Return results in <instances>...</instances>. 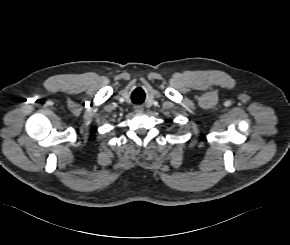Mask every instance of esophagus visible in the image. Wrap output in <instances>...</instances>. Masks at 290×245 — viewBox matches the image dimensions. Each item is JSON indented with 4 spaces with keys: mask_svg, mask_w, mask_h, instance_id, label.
<instances>
[{
    "mask_svg": "<svg viewBox=\"0 0 290 245\" xmlns=\"http://www.w3.org/2000/svg\"><path fill=\"white\" fill-rule=\"evenodd\" d=\"M134 110H135V112H142L143 108L141 106H135Z\"/></svg>",
    "mask_w": 290,
    "mask_h": 245,
    "instance_id": "1",
    "label": "esophagus"
}]
</instances>
